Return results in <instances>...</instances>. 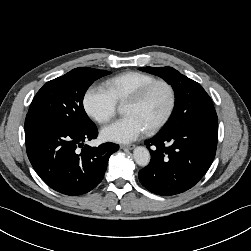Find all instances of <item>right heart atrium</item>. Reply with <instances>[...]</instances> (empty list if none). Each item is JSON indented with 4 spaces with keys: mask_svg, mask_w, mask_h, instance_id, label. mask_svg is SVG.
<instances>
[{
    "mask_svg": "<svg viewBox=\"0 0 251 251\" xmlns=\"http://www.w3.org/2000/svg\"><path fill=\"white\" fill-rule=\"evenodd\" d=\"M83 108L86 114L99 124L110 121L118 110V104L106 88L91 85L83 96Z\"/></svg>",
    "mask_w": 251,
    "mask_h": 251,
    "instance_id": "1",
    "label": "right heart atrium"
}]
</instances>
